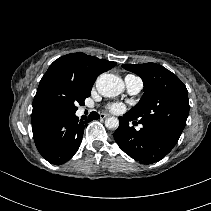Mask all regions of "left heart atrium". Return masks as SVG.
I'll use <instances>...</instances> for the list:
<instances>
[{"mask_svg": "<svg viewBox=\"0 0 211 211\" xmlns=\"http://www.w3.org/2000/svg\"><path fill=\"white\" fill-rule=\"evenodd\" d=\"M109 110L115 113L121 112L124 110V106L120 103H113L108 106Z\"/></svg>", "mask_w": 211, "mask_h": 211, "instance_id": "left-heart-atrium-1", "label": "left heart atrium"}]
</instances>
